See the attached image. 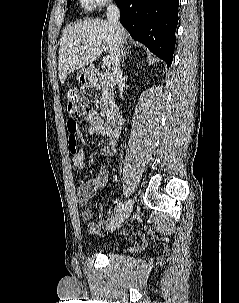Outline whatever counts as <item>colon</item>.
<instances>
[{"label":"colon","mask_w":239,"mask_h":303,"mask_svg":"<svg viewBox=\"0 0 239 303\" xmlns=\"http://www.w3.org/2000/svg\"><path fill=\"white\" fill-rule=\"evenodd\" d=\"M67 109L71 116L68 127L73 133L76 128L75 119L90 113V103L79 89L72 88L67 92Z\"/></svg>","instance_id":"1"}]
</instances>
